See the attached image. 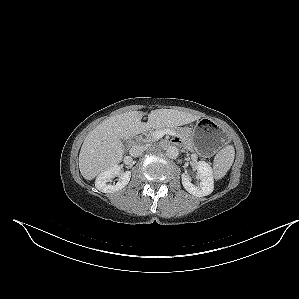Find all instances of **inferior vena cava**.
<instances>
[{
  "label": "inferior vena cava",
  "instance_id": "1",
  "mask_svg": "<svg viewBox=\"0 0 299 299\" xmlns=\"http://www.w3.org/2000/svg\"><path fill=\"white\" fill-rule=\"evenodd\" d=\"M148 148L147 145H134L132 146V148L130 149L129 151V154L132 156V157H139L143 154L144 151H146Z\"/></svg>",
  "mask_w": 299,
  "mask_h": 299
}]
</instances>
